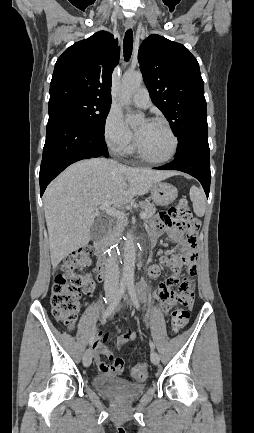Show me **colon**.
<instances>
[{
  "mask_svg": "<svg viewBox=\"0 0 254 433\" xmlns=\"http://www.w3.org/2000/svg\"><path fill=\"white\" fill-rule=\"evenodd\" d=\"M159 219L164 225L184 232L188 240L195 244L200 222L193 216L186 199L179 200L168 211L161 212ZM90 264L91 250L89 248L74 251L63 259L61 272L54 280L51 295L52 312L58 321L70 329L77 320L82 295L91 293L95 287L94 281L84 274V269ZM178 303L184 308L176 307L171 313V328L174 332L181 331L187 325L190 313L186 307L192 303V300L180 297ZM148 373V363L140 362L133 368L131 377L142 381L148 376Z\"/></svg>",
  "mask_w": 254,
  "mask_h": 433,
  "instance_id": "5ec220e1",
  "label": "colon"
}]
</instances>
